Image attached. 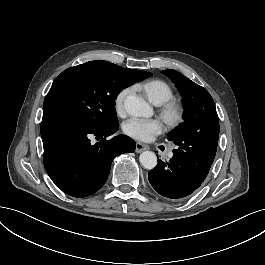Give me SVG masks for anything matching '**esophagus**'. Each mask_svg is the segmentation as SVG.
<instances>
[{
  "mask_svg": "<svg viewBox=\"0 0 265 265\" xmlns=\"http://www.w3.org/2000/svg\"><path fill=\"white\" fill-rule=\"evenodd\" d=\"M150 147L144 143H141V142H137L136 143V152L137 153H141L142 151L144 150H148Z\"/></svg>",
  "mask_w": 265,
  "mask_h": 265,
  "instance_id": "obj_1",
  "label": "esophagus"
}]
</instances>
